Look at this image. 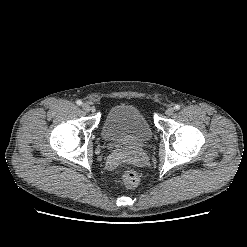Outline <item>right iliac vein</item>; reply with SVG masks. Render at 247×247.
I'll return each mask as SVG.
<instances>
[{"label": "right iliac vein", "instance_id": "right-iliac-vein-1", "mask_svg": "<svg viewBox=\"0 0 247 247\" xmlns=\"http://www.w3.org/2000/svg\"><path fill=\"white\" fill-rule=\"evenodd\" d=\"M82 108L85 112H89L91 110L90 105L87 103L82 104Z\"/></svg>", "mask_w": 247, "mask_h": 247}]
</instances>
